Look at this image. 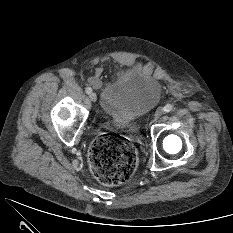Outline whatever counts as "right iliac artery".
Segmentation results:
<instances>
[{"mask_svg": "<svg viewBox=\"0 0 233 233\" xmlns=\"http://www.w3.org/2000/svg\"><path fill=\"white\" fill-rule=\"evenodd\" d=\"M85 91H86L87 94H90L92 92V88L91 87H87Z\"/></svg>", "mask_w": 233, "mask_h": 233, "instance_id": "1", "label": "right iliac artery"}]
</instances>
